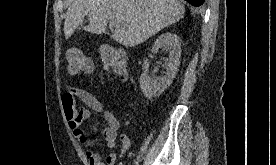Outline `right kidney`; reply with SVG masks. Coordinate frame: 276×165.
Listing matches in <instances>:
<instances>
[{
    "mask_svg": "<svg viewBox=\"0 0 276 165\" xmlns=\"http://www.w3.org/2000/svg\"><path fill=\"white\" fill-rule=\"evenodd\" d=\"M159 49H164L169 53V57L164 64L165 74L155 80H151L148 75L149 62L148 59H145L143 74L139 80L140 88L148 99L160 96L172 84L180 65L181 44L176 34L167 32L160 35L154 42L152 51L158 52Z\"/></svg>",
    "mask_w": 276,
    "mask_h": 165,
    "instance_id": "1",
    "label": "right kidney"
}]
</instances>
